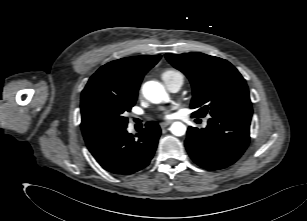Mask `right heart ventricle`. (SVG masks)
I'll return each instance as SVG.
<instances>
[{
    "label": "right heart ventricle",
    "mask_w": 307,
    "mask_h": 221,
    "mask_svg": "<svg viewBox=\"0 0 307 221\" xmlns=\"http://www.w3.org/2000/svg\"><path fill=\"white\" fill-rule=\"evenodd\" d=\"M178 75H182V74L179 71L174 70V69H166L162 72L161 77L164 82H167L169 79L175 76H178Z\"/></svg>",
    "instance_id": "obj_1"
}]
</instances>
